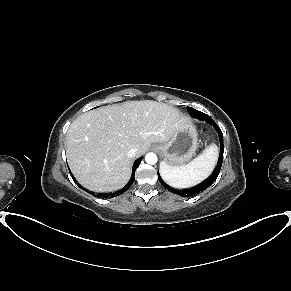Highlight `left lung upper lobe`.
Here are the masks:
<instances>
[{
  "label": "left lung upper lobe",
  "instance_id": "left-lung-upper-lobe-1",
  "mask_svg": "<svg viewBox=\"0 0 291 291\" xmlns=\"http://www.w3.org/2000/svg\"><path fill=\"white\" fill-rule=\"evenodd\" d=\"M193 111H195L194 108L188 107V113H189L190 115H192V112H193Z\"/></svg>",
  "mask_w": 291,
  "mask_h": 291
}]
</instances>
